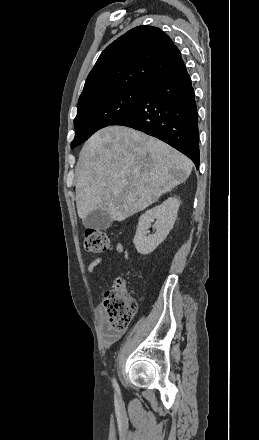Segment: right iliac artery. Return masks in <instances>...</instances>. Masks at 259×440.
Returning <instances> with one entry per match:
<instances>
[{"label": "right iliac artery", "instance_id": "82829eb1", "mask_svg": "<svg viewBox=\"0 0 259 440\" xmlns=\"http://www.w3.org/2000/svg\"><path fill=\"white\" fill-rule=\"evenodd\" d=\"M113 387L115 390H118V384H117L115 378L113 379Z\"/></svg>", "mask_w": 259, "mask_h": 440}]
</instances>
